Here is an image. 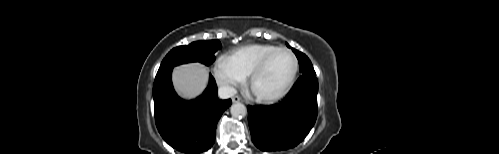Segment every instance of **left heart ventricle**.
I'll use <instances>...</instances> for the list:
<instances>
[{"label":"left heart ventricle","instance_id":"b2bd125f","mask_svg":"<svg viewBox=\"0 0 499 154\" xmlns=\"http://www.w3.org/2000/svg\"><path fill=\"white\" fill-rule=\"evenodd\" d=\"M292 70L291 56L285 52L277 53L254 82L253 91L262 96H272L278 93L287 83Z\"/></svg>","mask_w":499,"mask_h":154}]
</instances>
